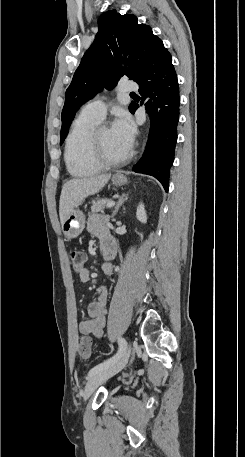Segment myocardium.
<instances>
[{
	"label": "myocardium",
	"mask_w": 245,
	"mask_h": 457,
	"mask_svg": "<svg viewBox=\"0 0 245 457\" xmlns=\"http://www.w3.org/2000/svg\"><path fill=\"white\" fill-rule=\"evenodd\" d=\"M108 128L106 125H97L93 127L92 129L89 130L87 133L85 140H84V150L82 153V157L86 163L91 165L92 167L96 169L100 168H107L111 167L114 165H117L119 163H122L126 160L129 159L130 157V149L128 150L121 156L119 157H105V158H96L93 153V146H94V141L99 133L100 130Z\"/></svg>",
	"instance_id": "obj_1"
}]
</instances>
